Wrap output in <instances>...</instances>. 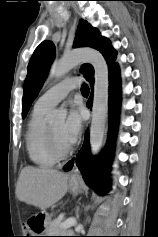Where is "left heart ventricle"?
I'll use <instances>...</instances> for the list:
<instances>
[{"instance_id": "1", "label": "left heart ventricle", "mask_w": 158, "mask_h": 237, "mask_svg": "<svg viewBox=\"0 0 158 237\" xmlns=\"http://www.w3.org/2000/svg\"><path fill=\"white\" fill-rule=\"evenodd\" d=\"M62 127H63L62 122L50 125V129H51L56 145L58 146L59 149L66 150L70 146L62 138V135H61Z\"/></svg>"}]
</instances>
